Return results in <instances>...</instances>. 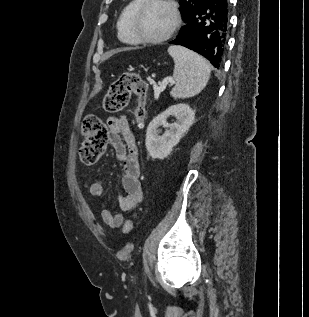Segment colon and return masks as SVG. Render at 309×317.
Wrapping results in <instances>:
<instances>
[{"mask_svg": "<svg viewBox=\"0 0 309 317\" xmlns=\"http://www.w3.org/2000/svg\"><path fill=\"white\" fill-rule=\"evenodd\" d=\"M146 82L134 72L123 73L114 81L106 93L102 107L107 112H118L125 108L134 93L137 96L135 119L142 123L146 115ZM84 141L79 150L80 160L83 165L95 164L105 151L108 139V131L104 122L97 116L89 115L83 122ZM133 224L130 220L124 223V232L130 233Z\"/></svg>", "mask_w": 309, "mask_h": 317, "instance_id": "5ec220e1", "label": "colon"}]
</instances>
